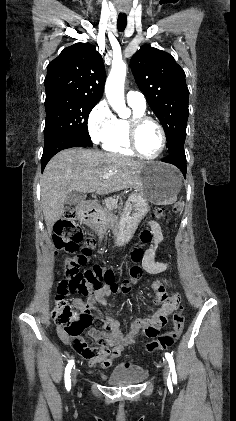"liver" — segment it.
Instances as JSON below:
<instances>
[{
    "mask_svg": "<svg viewBox=\"0 0 236 421\" xmlns=\"http://www.w3.org/2000/svg\"><path fill=\"white\" fill-rule=\"evenodd\" d=\"M144 162L121 154L65 148L57 152L41 176V208L49 235L64 213L68 192H97L108 194L122 188L141 190L139 172ZM110 174L109 178H102Z\"/></svg>",
    "mask_w": 236,
    "mask_h": 421,
    "instance_id": "1",
    "label": "liver"
}]
</instances>
